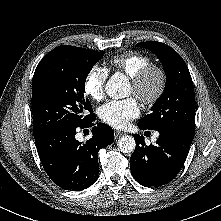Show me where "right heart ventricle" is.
Masks as SVG:
<instances>
[{"instance_id": "1", "label": "right heart ventricle", "mask_w": 221, "mask_h": 221, "mask_svg": "<svg viewBox=\"0 0 221 221\" xmlns=\"http://www.w3.org/2000/svg\"><path fill=\"white\" fill-rule=\"evenodd\" d=\"M110 63L114 69L133 78L145 67L152 64V58L138 51H127L113 56Z\"/></svg>"}]
</instances>
